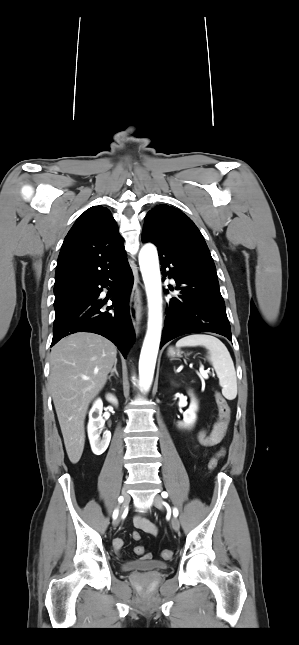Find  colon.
Masks as SVG:
<instances>
[{"label":"colon","mask_w":299,"mask_h":645,"mask_svg":"<svg viewBox=\"0 0 299 645\" xmlns=\"http://www.w3.org/2000/svg\"><path fill=\"white\" fill-rule=\"evenodd\" d=\"M215 400H216L217 407H218V415H219V421H220L221 428L224 431H226V429L228 427V423H229V418H230L229 404H228L226 398L220 392H216ZM218 461H219V454L216 453L209 460L208 469L210 471H214L216 469L217 465H218ZM133 538L135 540H139L140 539V534L137 533V532H134L133 533ZM134 551H135V553L137 555H144V553H145V549H144L143 546H136ZM161 555H162V557L164 559L168 560V559H170L172 557L173 553H172L171 550L165 549V550L162 551Z\"/></svg>","instance_id":"obj_1"}]
</instances>
